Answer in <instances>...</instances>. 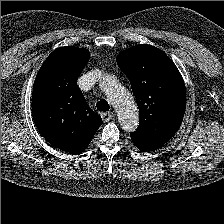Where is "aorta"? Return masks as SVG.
<instances>
[{"label":"aorta","mask_w":224,"mask_h":224,"mask_svg":"<svg viewBox=\"0 0 224 224\" xmlns=\"http://www.w3.org/2000/svg\"><path fill=\"white\" fill-rule=\"evenodd\" d=\"M100 87L115 108L122 129L134 131L139 125V112L131 93L111 75L102 78Z\"/></svg>","instance_id":"762f6f07"}]
</instances>
